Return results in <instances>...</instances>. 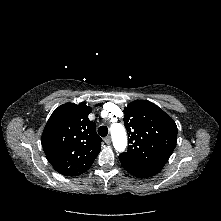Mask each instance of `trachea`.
I'll use <instances>...</instances> for the list:
<instances>
[{
	"instance_id": "obj_1",
	"label": "trachea",
	"mask_w": 221,
	"mask_h": 221,
	"mask_svg": "<svg viewBox=\"0 0 221 221\" xmlns=\"http://www.w3.org/2000/svg\"><path fill=\"white\" fill-rule=\"evenodd\" d=\"M98 134L101 136V137H105L107 136L108 134V128L106 126H100L98 128Z\"/></svg>"
}]
</instances>
